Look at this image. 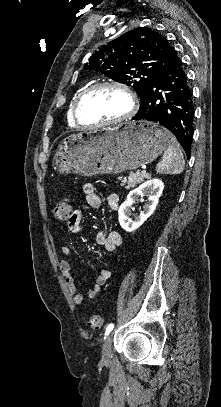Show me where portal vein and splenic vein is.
I'll return each instance as SVG.
<instances>
[{
    "label": "portal vein and splenic vein",
    "instance_id": "portal-vein-and-splenic-vein-1",
    "mask_svg": "<svg viewBox=\"0 0 221 407\" xmlns=\"http://www.w3.org/2000/svg\"><path fill=\"white\" fill-rule=\"evenodd\" d=\"M140 173H141V174H145V171L140 170V169H139V170H137V174H140Z\"/></svg>",
    "mask_w": 221,
    "mask_h": 407
}]
</instances>
